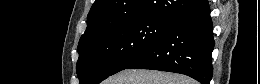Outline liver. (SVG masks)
<instances>
[{"instance_id":"1","label":"liver","mask_w":260,"mask_h":84,"mask_svg":"<svg viewBox=\"0 0 260 84\" xmlns=\"http://www.w3.org/2000/svg\"><path fill=\"white\" fill-rule=\"evenodd\" d=\"M107 84H195V81L175 73L153 70H123L111 77Z\"/></svg>"}]
</instances>
